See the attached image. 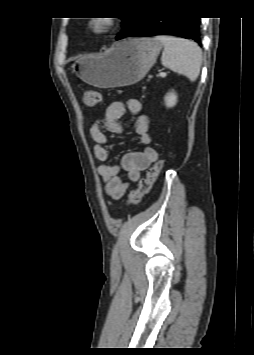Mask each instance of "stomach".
<instances>
[{
  "label": "stomach",
  "instance_id": "obj_1",
  "mask_svg": "<svg viewBox=\"0 0 254 355\" xmlns=\"http://www.w3.org/2000/svg\"><path fill=\"white\" fill-rule=\"evenodd\" d=\"M162 44L153 38H127L105 55H84L71 66L84 82L100 87H123L142 80L155 63Z\"/></svg>",
  "mask_w": 254,
  "mask_h": 355
}]
</instances>
